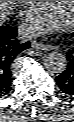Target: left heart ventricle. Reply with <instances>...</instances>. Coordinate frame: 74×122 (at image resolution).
Wrapping results in <instances>:
<instances>
[{
    "mask_svg": "<svg viewBox=\"0 0 74 122\" xmlns=\"http://www.w3.org/2000/svg\"><path fill=\"white\" fill-rule=\"evenodd\" d=\"M47 5L59 17L69 20L72 14L73 1H46Z\"/></svg>",
    "mask_w": 74,
    "mask_h": 122,
    "instance_id": "obj_1",
    "label": "left heart ventricle"
}]
</instances>
